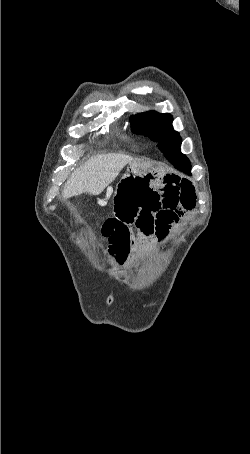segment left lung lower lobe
Returning a JSON list of instances; mask_svg holds the SVG:
<instances>
[{
    "label": "left lung lower lobe",
    "instance_id": "0a47b994",
    "mask_svg": "<svg viewBox=\"0 0 250 454\" xmlns=\"http://www.w3.org/2000/svg\"><path fill=\"white\" fill-rule=\"evenodd\" d=\"M168 161L174 165V167L188 175H191V165L189 159L185 155H177L169 158Z\"/></svg>",
    "mask_w": 250,
    "mask_h": 454
}]
</instances>
